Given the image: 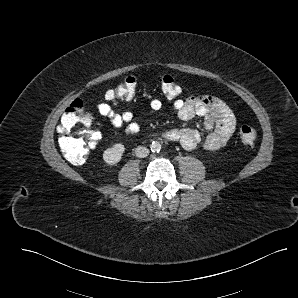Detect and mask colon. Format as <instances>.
Instances as JSON below:
<instances>
[{"label": "colon", "instance_id": "obj_1", "mask_svg": "<svg viewBox=\"0 0 298 298\" xmlns=\"http://www.w3.org/2000/svg\"><path fill=\"white\" fill-rule=\"evenodd\" d=\"M137 88V78L134 75L125 77L106 95L113 100L131 99ZM160 88L168 99H175L181 93L178 82L170 75L160 78ZM93 119L86 111L81 100H74L64 111L58 126L59 146L67 159L81 165L86 162L88 154L100 141V134L92 128ZM239 139L243 146L252 147L256 141V132L249 125H243L239 130Z\"/></svg>", "mask_w": 298, "mask_h": 298}]
</instances>
